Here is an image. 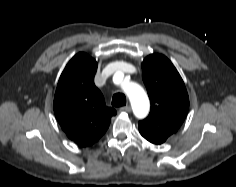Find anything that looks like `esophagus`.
Masks as SVG:
<instances>
[{"label":"esophagus","instance_id":"1","mask_svg":"<svg viewBox=\"0 0 236 187\" xmlns=\"http://www.w3.org/2000/svg\"><path fill=\"white\" fill-rule=\"evenodd\" d=\"M120 112H130L131 111V107L130 106H123L120 108L119 110Z\"/></svg>","mask_w":236,"mask_h":187}]
</instances>
